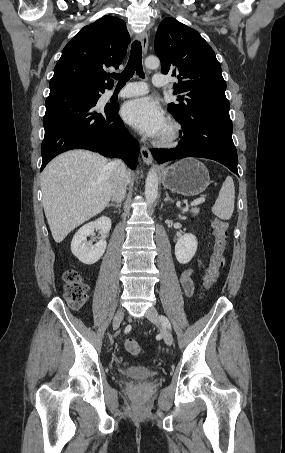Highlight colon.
Segmentation results:
<instances>
[{"label":"colon","instance_id":"colon-1","mask_svg":"<svg viewBox=\"0 0 285 453\" xmlns=\"http://www.w3.org/2000/svg\"><path fill=\"white\" fill-rule=\"evenodd\" d=\"M214 236V251L209 258V263L203 276V288L208 291L216 282L220 269L223 267L225 258L224 251L228 236L226 222L215 218L212 222ZM64 297L68 305L73 309H81L88 299V284L83 276L74 268H68L63 274ZM126 350L132 355L142 353L141 344L135 339L125 341Z\"/></svg>","mask_w":285,"mask_h":453}]
</instances>
